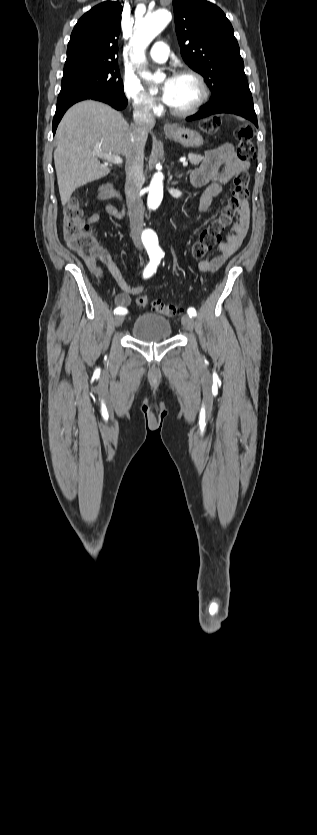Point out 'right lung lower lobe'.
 I'll use <instances>...</instances> for the list:
<instances>
[{"mask_svg": "<svg viewBox=\"0 0 317 835\" xmlns=\"http://www.w3.org/2000/svg\"><path fill=\"white\" fill-rule=\"evenodd\" d=\"M92 99L97 101H102L114 107L117 110H122L127 106V99L125 95L117 94L111 91H99L90 94L80 95L77 97L70 98L68 100L62 101L57 103L56 105V112L53 118V134H55L56 128L58 123L60 122L62 116L66 112V110L75 104L76 102Z\"/></svg>", "mask_w": 317, "mask_h": 835, "instance_id": "obj_1", "label": "right lung lower lobe"}]
</instances>
